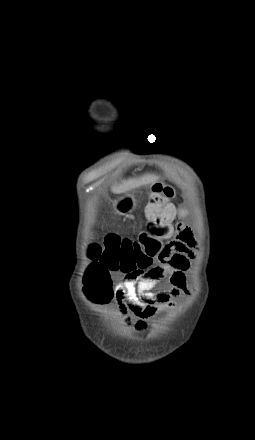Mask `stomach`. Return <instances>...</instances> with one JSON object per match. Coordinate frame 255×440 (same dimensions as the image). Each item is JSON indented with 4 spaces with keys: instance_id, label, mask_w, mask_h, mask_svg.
<instances>
[{
    "instance_id": "0dacf381",
    "label": "stomach",
    "mask_w": 255,
    "mask_h": 440,
    "mask_svg": "<svg viewBox=\"0 0 255 440\" xmlns=\"http://www.w3.org/2000/svg\"><path fill=\"white\" fill-rule=\"evenodd\" d=\"M136 207V200L133 195L126 194L118 198L113 203L115 212L119 215H127L131 213Z\"/></svg>"
}]
</instances>
